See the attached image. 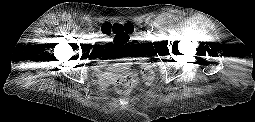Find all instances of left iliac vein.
Returning <instances> with one entry per match:
<instances>
[{
  "label": "left iliac vein",
  "instance_id": "obj_1",
  "mask_svg": "<svg viewBox=\"0 0 255 122\" xmlns=\"http://www.w3.org/2000/svg\"><path fill=\"white\" fill-rule=\"evenodd\" d=\"M151 34L150 33H145V37H150Z\"/></svg>",
  "mask_w": 255,
  "mask_h": 122
}]
</instances>
